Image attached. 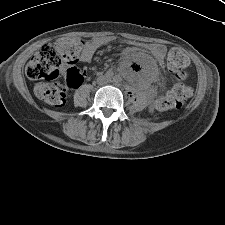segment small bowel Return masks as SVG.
<instances>
[{
  "mask_svg": "<svg viewBox=\"0 0 225 225\" xmlns=\"http://www.w3.org/2000/svg\"><path fill=\"white\" fill-rule=\"evenodd\" d=\"M113 39L111 37H96L93 38L87 42L84 43L81 51V61L85 63H89L95 52L102 46L108 44ZM138 50L136 47H126L123 50V53L125 55H129L132 52ZM144 50H147L158 62H162L165 54H166V48L163 45L160 44H150L144 47ZM63 73L65 74V71L63 70Z\"/></svg>",
  "mask_w": 225,
  "mask_h": 225,
  "instance_id": "obj_1",
  "label": "small bowel"
}]
</instances>
